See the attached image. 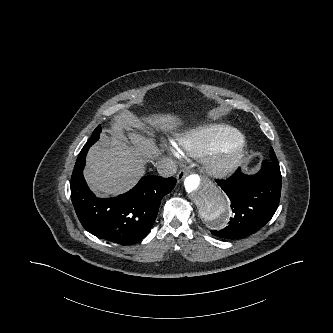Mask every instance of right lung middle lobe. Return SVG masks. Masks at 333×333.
<instances>
[{
	"label": "right lung middle lobe",
	"mask_w": 333,
	"mask_h": 333,
	"mask_svg": "<svg viewBox=\"0 0 333 333\" xmlns=\"http://www.w3.org/2000/svg\"><path fill=\"white\" fill-rule=\"evenodd\" d=\"M100 132H101V127L98 126L88 141H93L95 143L99 139Z\"/></svg>",
	"instance_id": "right-lung-middle-lobe-1"
}]
</instances>
